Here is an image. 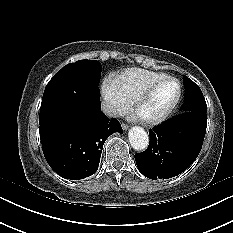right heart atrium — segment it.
Instances as JSON below:
<instances>
[{"mask_svg":"<svg viewBox=\"0 0 233 233\" xmlns=\"http://www.w3.org/2000/svg\"><path fill=\"white\" fill-rule=\"evenodd\" d=\"M101 92L108 115L117 117L128 111L130 100L122 94L111 77H106L103 80Z\"/></svg>","mask_w":233,"mask_h":233,"instance_id":"d8ad5b80","label":"right heart atrium"}]
</instances>
